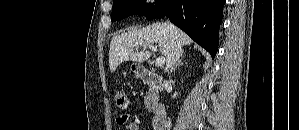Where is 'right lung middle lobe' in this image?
<instances>
[{
	"label": "right lung middle lobe",
	"instance_id": "right-lung-middle-lobe-1",
	"mask_svg": "<svg viewBox=\"0 0 299 130\" xmlns=\"http://www.w3.org/2000/svg\"><path fill=\"white\" fill-rule=\"evenodd\" d=\"M151 8L146 6L145 0H114L111 21L121 20L133 14L146 15Z\"/></svg>",
	"mask_w": 299,
	"mask_h": 130
}]
</instances>
